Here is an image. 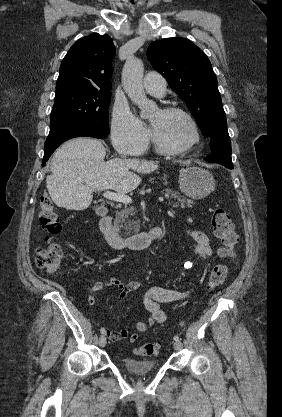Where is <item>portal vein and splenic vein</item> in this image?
<instances>
[{
  "instance_id": "obj_1",
  "label": "portal vein and splenic vein",
  "mask_w": 282,
  "mask_h": 417,
  "mask_svg": "<svg viewBox=\"0 0 282 417\" xmlns=\"http://www.w3.org/2000/svg\"><path fill=\"white\" fill-rule=\"evenodd\" d=\"M103 196H105V198H109V200H118V202H132L131 196L124 194V192H111V190H106V192H103ZM158 202H167L166 196L160 195Z\"/></svg>"
}]
</instances>
